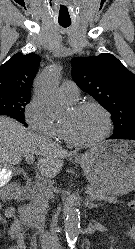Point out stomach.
<instances>
[{"label":"stomach","mask_w":135,"mask_h":249,"mask_svg":"<svg viewBox=\"0 0 135 249\" xmlns=\"http://www.w3.org/2000/svg\"><path fill=\"white\" fill-rule=\"evenodd\" d=\"M90 185L106 194L124 195L135 190V142L106 141L79 159Z\"/></svg>","instance_id":"stomach-1"}]
</instances>
